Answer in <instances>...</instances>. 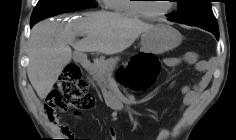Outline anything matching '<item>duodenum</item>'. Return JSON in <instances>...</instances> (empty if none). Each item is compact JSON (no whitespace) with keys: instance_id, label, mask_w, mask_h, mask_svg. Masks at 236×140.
<instances>
[{"instance_id":"1","label":"duodenum","mask_w":236,"mask_h":140,"mask_svg":"<svg viewBox=\"0 0 236 140\" xmlns=\"http://www.w3.org/2000/svg\"><path fill=\"white\" fill-rule=\"evenodd\" d=\"M77 59L83 65L85 70L89 71L91 69V63L88 62L81 54L77 55Z\"/></svg>"}]
</instances>
